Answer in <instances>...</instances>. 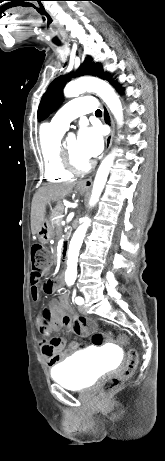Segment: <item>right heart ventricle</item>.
<instances>
[{
	"instance_id": "right-heart-ventricle-1",
	"label": "right heart ventricle",
	"mask_w": 165,
	"mask_h": 461,
	"mask_svg": "<svg viewBox=\"0 0 165 461\" xmlns=\"http://www.w3.org/2000/svg\"><path fill=\"white\" fill-rule=\"evenodd\" d=\"M64 130L44 124L39 132V149L43 161L44 177L49 182H63L72 178L61 164L59 145Z\"/></svg>"
}]
</instances>
